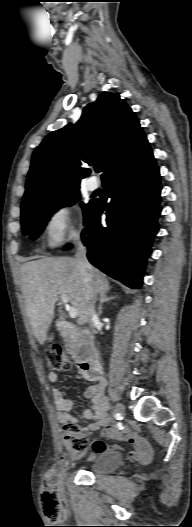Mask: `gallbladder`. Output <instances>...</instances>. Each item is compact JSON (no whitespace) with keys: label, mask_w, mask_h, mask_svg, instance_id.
<instances>
[{"label":"gallbladder","mask_w":192,"mask_h":527,"mask_svg":"<svg viewBox=\"0 0 192 527\" xmlns=\"http://www.w3.org/2000/svg\"><path fill=\"white\" fill-rule=\"evenodd\" d=\"M49 340H53V336H51V337L49 338Z\"/></svg>","instance_id":"1"}]
</instances>
